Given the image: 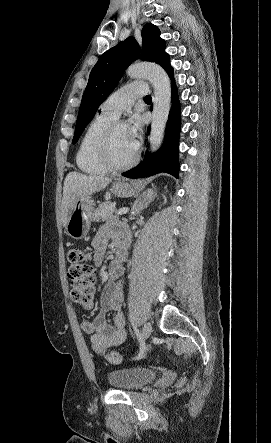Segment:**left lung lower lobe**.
Returning a JSON list of instances; mask_svg holds the SVG:
<instances>
[{"label":"left lung lower lobe","mask_w":271,"mask_h":443,"mask_svg":"<svg viewBox=\"0 0 271 443\" xmlns=\"http://www.w3.org/2000/svg\"><path fill=\"white\" fill-rule=\"evenodd\" d=\"M156 63L165 69L173 82L172 109L166 126L165 142L157 153L153 155L146 153L144 161L123 174V176L128 178L149 177L160 172H167L178 178V145L181 118L177 89L174 85L173 68L170 65V58L167 53H165ZM149 131L150 127H148V132Z\"/></svg>","instance_id":"left-lung-lower-lobe-1"}]
</instances>
